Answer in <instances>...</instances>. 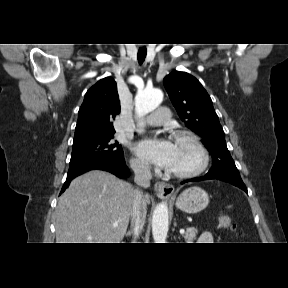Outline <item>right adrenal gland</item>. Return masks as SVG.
Instances as JSON below:
<instances>
[{
    "mask_svg": "<svg viewBox=\"0 0 288 288\" xmlns=\"http://www.w3.org/2000/svg\"><path fill=\"white\" fill-rule=\"evenodd\" d=\"M132 234H133V230L128 231V232L126 233V236H131Z\"/></svg>",
    "mask_w": 288,
    "mask_h": 288,
    "instance_id": "2a0ac1e0",
    "label": "right adrenal gland"
}]
</instances>
